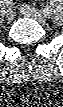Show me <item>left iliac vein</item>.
I'll use <instances>...</instances> for the list:
<instances>
[{
  "instance_id": "obj_1",
  "label": "left iliac vein",
  "mask_w": 63,
  "mask_h": 107,
  "mask_svg": "<svg viewBox=\"0 0 63 107\" xmlns=\"http://www.w3.org/2000/svg\"><path fill=\"white\" fill-rule=\"evenodd\" d=\"M21 12L27 17L36 19L41 24H46V18L44 15L35 8L24 6L21 8Z\"/></svg>"
}]
</instances>
